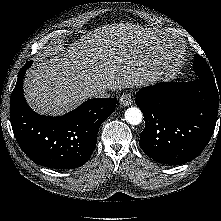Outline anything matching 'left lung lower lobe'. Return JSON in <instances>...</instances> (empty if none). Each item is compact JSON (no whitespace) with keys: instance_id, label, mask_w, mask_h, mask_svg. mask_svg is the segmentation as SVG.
Instances as JSON below:
<instances>
[{"instance_id":"1","label":"left lung lower lobe","mask_w":221,"mask_h":221,"mask_svg":"<svg viewBox=\"0 0 221 221\" xmlns=\"http://www.w3.org/2000/svg\"><path fill=\"white\" fill-rule=\"evenodd\" d=\"M135 102L145 118L142 150L158 163L180 165L200 155L211 139L221 86L201 78L161 82L138 91Z\"/></svg>"}]
</instances>
